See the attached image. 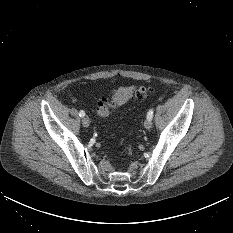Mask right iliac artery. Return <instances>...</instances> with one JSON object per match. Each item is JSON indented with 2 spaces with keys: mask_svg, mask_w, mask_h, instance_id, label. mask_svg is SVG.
<instances>
[{
  "mask_svg": "<svg viewBox=\"0 0 233 233\" xmlns=\"http://www.w3.org/2000/svg\"><path fill=\"white\" fill-rule=\"evenodd\" d=\"M79 116H80V117H84V116H85V112H84L83 110H81V111L79 112Z\"/></svg>",
  "mask_w": 233,
  "mask_h": 233,
  "instance_id": "1",
  "label": "right iliac artery"
}]
</instances>
